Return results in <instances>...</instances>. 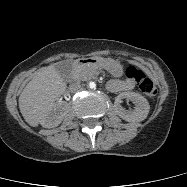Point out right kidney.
Instances as JSON below:
<instances>
[{"mask_svg": "<svg viewBox=\"0 0 187 187\" xmlns=\"http://www.w3.org/2000/svg\"><path fill=\"white\" fill-rule=\"evenodd\" d=\"M66 112L67 106L63 102L54 104L53 108L42 118L40 124L45 128H54L61 123Z\"/></svg>", "mask_w": 187, "mask_h": 187, "instance_id": "right-kidney-1", "label": "right kidney"}]
</instances>
